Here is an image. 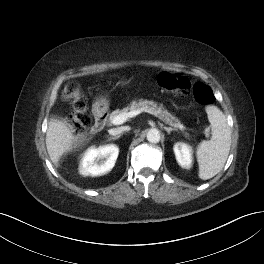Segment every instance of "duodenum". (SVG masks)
Returning a JSON list of instances; mask_svg holds the SVG:
<instances>
[{
  "instance_id": "410a0bca",
  "label": "duodenum",
  "mask_w": 264,
  "mask_h": 264,
  "mask_svg": "<svg viewBox=\"0 0 264 264\" xmlns=\"http://www.w3.org/2000/svg\"><path fill=\"white\" fill-rule=\"evenodd\" d=\"M93 116L94 123L92 125V129L94 131L101 130L105 123L106 110L103 108L101 104H96L93 107Z\"/></svg>"
}]
</instances>
